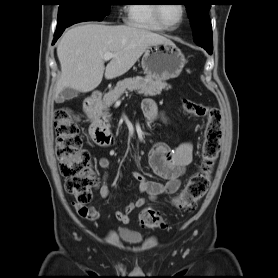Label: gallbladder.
<instances>
[{"label": "gallbladder", "instance_id": "gallbladder-1", "mask_svg": "<svg viewBox=\"0 0 278 278\" xmlns=\"http://www.w3.org/2000/svg\"><path fill=\"white\" fill-rule=\"evenodd\" d=\"M78 91L72 88H65L57 98L58 103H63L64 101L71 100L78 96Z\"/></svg>", "mask_w": 278, "mask_h": 278}]
</instances>
